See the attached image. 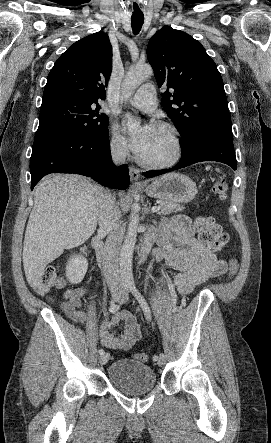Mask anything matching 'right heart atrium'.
Here are the masks:
<instances>
[{
    "mask_svg": "<svg viewBox=\"0 0 271 443\" xmlns=\"http://www.w3.org/2000/svg\"><path fill=\"white\" fill-rule=\"evenodd\" d=\"M109 134V147L111 152L118 156L125 155L128 151L127 141L115 124L110 126Z\"/></svg>",
    "mask_w": 271,
    "mask_h": 443,
    "instance_id": "1",
    "label": "right heart atrium"
}]
</instances>
